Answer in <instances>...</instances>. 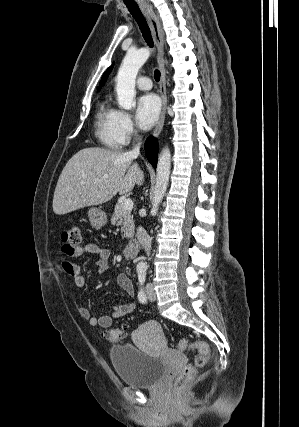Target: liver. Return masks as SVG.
Listing matches in <instances>:
<instances>
[{"mask_svg": "<svg viewBox=\"0 0 299 427\" xmlns=\"http://www.w3.org/2000/svg\"><path fill=\"white\" fill-rule=\"evenodd\" d=\"M131 152L91 147L77 152L58 179L53 211L57 215L99 205L117 193L130 192L143 184L144 175Z\"/></svg>", "mask_w": 299, "mask_h": 427, "instance_id": "obj_1", "label": "liver"}]
</instances>
